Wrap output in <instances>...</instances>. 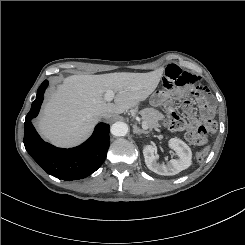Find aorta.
Segmentation results:
<instances>
[{
    "instance_id": "762f6f07",
    "label": "aorta",
    "mask_w": 245,
    "mask_h": 245,
    "mask_svg": "<svg viewBox=\"0 0 245 245\" xmlns=\"http://www.w3.org/2000/svg\"><path fill=\"white\" fill-rule=\"evenodd\" d=\"M128 132V126L124 122H115L111 126V134L116 137L125 136Z\"/></svg>"
}]
</instances>
